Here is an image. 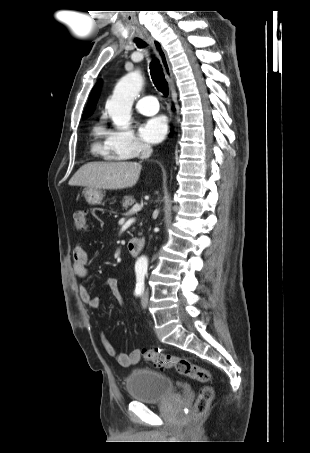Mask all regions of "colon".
Here are the masks:
<instances>
[{
	"label": "colon",
	"instance_id": "5ec220e1",
	"mask_svg": "<svg viewBox=\"0 0 310 453\" xmlns=\"http://www.w3.org/2000/svg\"><path fill=\"white\" fill-rule=\"evenodd\" d=\"M75 229L82 231L87 227L86 213L83 210H77L73 216ZM143 358L151 362L156 368L161 370L175 369L179 374L187 376L201 383H208L211 380V374L206 368L190 362L186 358L165 354L156 350L143 349L141 351ZM213 399V390L210 386H203L198 394L194 406L193 419L202 417L209 409Z\"/></svg>",
	"mask_w": 310,
	"mask_h": 453
}]
</instances>
